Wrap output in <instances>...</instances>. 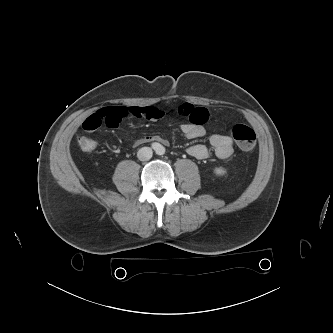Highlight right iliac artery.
<instances>
[{
	"instance_id": "obj_1",
	"label": "right iliac artery",
	"mask_w": 333,
	"mask_h": 333,
	"mask_svg": "<svg viewBox=\"0 0 333 333\" xmlns=\"http://www.w3.org/2000/svg\"><path fill=\"white\" fill-rule=\"evenodd\" d=\"M151 146L154 150H157V149H159L160 144L155 142V143H152Z\"/></svg>"
}]
</instances>
